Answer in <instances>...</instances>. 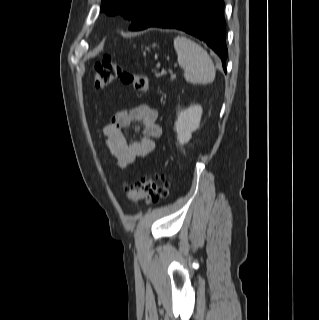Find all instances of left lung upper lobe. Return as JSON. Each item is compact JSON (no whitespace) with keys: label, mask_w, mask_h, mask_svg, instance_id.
I'll return each instance as SVG.
<instances>
[{"label":"left lung upper lobe","mask_w":319,"mask_h":320,"mask_svg":"<svg viewBox=\"0 0 319 320\" xmlns=\"http://www.w3.org/2000/svg\"><path fill=\"white\" fill-rule=\"evenodd\" d=\"M158 0H102L100 11L108 15L120 14L132 23Z\"/></svg>","instance_id":"obj_1"}]
</instances>
